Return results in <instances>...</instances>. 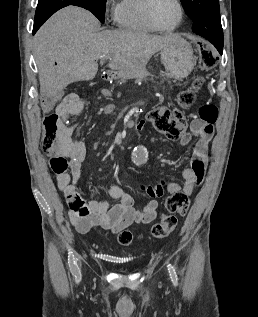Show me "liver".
Here are the masks:
<instances>
[{
	"label": "liver",
	"mask_w": 258,
	"mask_h": 317,
	"mask_svg": "<svg viewBox=\"0 0 258 317\" xmlns=\"http://www.w3.org/2000/svg\"><path fill=\"white\" fill-rule=\"evenodd\" d=\"M99 20L85 8L65 6L44 22L34 38V56L41 94L58 100L74 80H90L98 58L112 56V70L138 72L152 54L183 40L180 34L162 36L146 30H99Z\"/></svg>",
	"instance_id": "6515ba94"
}]
</instances>
